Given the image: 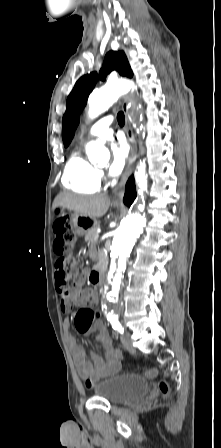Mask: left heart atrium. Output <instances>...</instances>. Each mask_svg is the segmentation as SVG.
Segmentation results:
<instances>
[{
    "mask_svg": "<svg viewBox=\"0 0 221 448\" xmlns=\"http://www.w3.org/2000/svg\"><path fill=\"white\" fill-rule=\"evenodd\" d=\"M127 149L123 144L114 143L111 145V163L109 165V173L112 176L119 175L127 160Z\"/></svg>",
    "mask_w": 221,
    "mask_h": 448,
    "instance_id": "obj_1",
    "label": "left heart atrium"
}]
</instances>
